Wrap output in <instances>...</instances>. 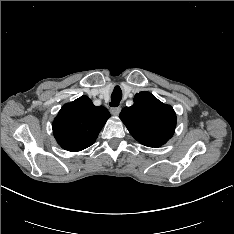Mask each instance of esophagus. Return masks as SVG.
Wrapping results in <instances>:
<instances>
[{"mask_svg": "<svg viewBox=\"0 0 234 234\" xmlns=\"http://www.w3.org/2000/svg\"><path fill=\"white\" fill-rule=\"evenodd\" d=\"M111 114H113L114 116L119 115V113L121 112V107H115V108H111L110 109Z\"/></svg>", "mask_w": 234, "mask_h": 234, "instance_id": "1", "label": "esophagus"}]
</instances>
